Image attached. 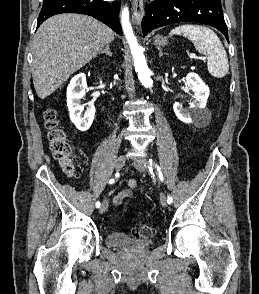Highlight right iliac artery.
Returning <instances> with one entry per match:
<instances>
[{"label": "right iliac artery", "instance_id": "1", "mask_svg": "<svg viewBox=\"0 0 259 294\" xmlns=\"http://www.w3.org/2000/svg\"><path fill=\"white\" fill-rule=\"evenodd\" d=\"M118 176H119V173L116 174V177H118ZM114 181H115L114 179H111V180L109 181V183H110V184H111V183H114ZM96 207H97V208L100 207V202H99V201L96 202Z\"/></svg>", "mask_w": 259, "mask_h": 294}]
</instances>
